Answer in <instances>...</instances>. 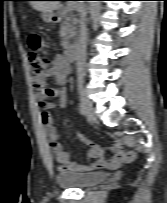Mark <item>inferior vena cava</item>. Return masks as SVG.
Segmentation results:
<instances>
[{
    "label": "inferior vena cava",
    "mask_w": 167,
    "mask_h": 203,
    "mask_svg": "<svg viewBox=\"0 0 167 203\" xmlns=\"http://www.w3.org/2000/svg\"><path fill=\"white\" fill-rule=\"evenodd\" d=\"M86 13L83 9L80 10L79 20V38L77 46V73L79 77L84 76L86 47H87V26H86Z\"/></svg>",
    "instance_id": "obj_1"
}]
</instances>
